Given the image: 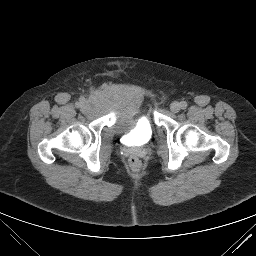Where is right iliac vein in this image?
I'll use <instances>...</instances> for the list:
<instances>
[{
	"label": "right iliac vein",
	"instance_id": "1",
	"mask_svg": "<svg viewBox=\"0 0 256 256\" xmlns=\"http://www.w3.org/2000/svg\"><path fill=\"white\" fill-rule=\"evenodd\" d=\"M81 109L84 112L88 111L90 109L88 102H86V101L83 102L82 105H81Z\"/></svg>",
	"mask_w": 256,
	"mask_h": 256
}]
</instances>
